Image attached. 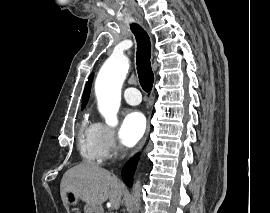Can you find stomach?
<instances>
[{
    "instance_id": "stomach-1",
    "label": "stomach",
    "mask_w": 270,
    "mask_h": 213,
    "mask_svg": "<svg viewBox=\"0 0 270 213\" xmlns=\"http://www.w3.org/2000/svg\"><path fill=\"white\" fill-rule=\"evenodd\" d=\"M64 197L69 205H76L79 200L74 191L71 189L65 190ZM84 213H103V210L101 207H92L86 204L84 206Z\"/></svg>"
}]
</instances>
